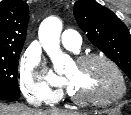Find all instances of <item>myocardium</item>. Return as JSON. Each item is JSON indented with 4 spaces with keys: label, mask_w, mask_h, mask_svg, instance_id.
Masks as SVG:
<instances>
[{
    "label": "myocardium",
    "mask_w": 131,
    "mask_h": 115,
    "mask_svg": "<svg viewBox=\"0 0 131 115\" xmlns=\"http://www.w3.org/2000/svg\"><path fill=\"white\" fill-rule=\"evenodd\" d=\"M95 60H99L108 64L114 70L119 81V89L114 95L108 98H102V99L81 97V96H77L73 92H69L68 94L69 98L77 105L106 107L119 101L126 94L127 86H126V81H125L123 72L120 69V67L117 65V63L114 62L108 56L103 55V54H96V53L86 54V55H82L78 57L75 61V64L78 66H82Z\"/></svg>",
    "instance_id": "1"
}]
</instances>
